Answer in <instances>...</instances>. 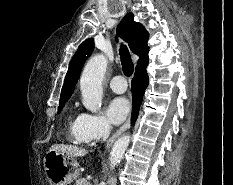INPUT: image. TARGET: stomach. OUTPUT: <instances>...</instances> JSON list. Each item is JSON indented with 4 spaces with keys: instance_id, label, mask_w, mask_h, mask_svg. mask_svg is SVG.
<instances>
[{
    "instance_id": "stomach-1",
    "label": "stomach",
    "mask_w": 233,
    "mask_h": 185,
    "mask_svg": "<svg viewBox=\"0 0 233 185\" xmlns=\"http://www.w3.org/2000/svg\"><path fill=\"white\" fill-rule=\"evenodd\" d=\"M44 169L51 185H69L79 176L76 160L54 150L46 153Z\"/></svg>"
}]
</instances>
